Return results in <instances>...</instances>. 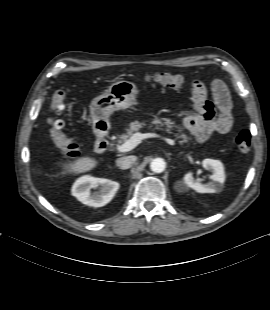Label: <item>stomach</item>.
Here are the masks:
<instances>
[{
  "instance_id": "stomach-1",
  "label": "stomach",
  "mask_w": 270,
  "mask_h": 310,
  "mask_svg": "<svg viewBox=\"0 0 270 310\" xmlns=\"http://www.w3.org/2000/svg\"><path fill=\"white\" fill-rule=\"evenodd\" d=\"M138 89L132 82L120 80L112 83L105 92L90 103L93 126L108 124L109 116L117 110L126 109L136 102Z\"/></svg>"
}]
</instances>
